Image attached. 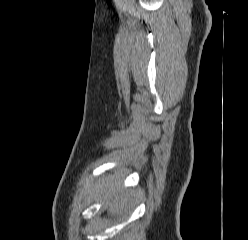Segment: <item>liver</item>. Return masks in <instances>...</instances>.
<instances>
[{
    "instance_id": "liver-1",
    "label": "liver",
    "mask_w": 248,
    "mask_h": 240,
    "mask_svg": "<svg viewBox=\"0 0 248 240\" xmlns=\"http://www.w3.org/2000/svg\"><path fill=\"white\" fill-rule=\"evenodd\" d=\"M117 185H111L109 187V190L106 191V196L108 197L107 199V204H109L108 212L110 213H116L124 208H126L130 196L128 194H120L116 192ZM116 192V195H115ZM113 196H115V201L114 203L112 202Z\"/></svg>"
}]
</instances>
